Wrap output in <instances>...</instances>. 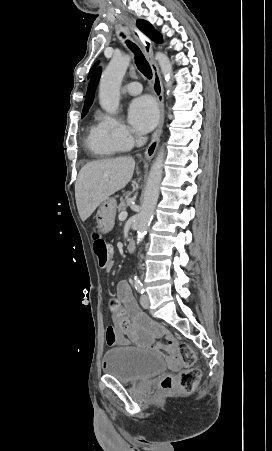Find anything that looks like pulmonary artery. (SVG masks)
<instances>
[{
	"label": "pulmonary artery",
	"instance_id": "1",
	"mask_svg": "<svg viewBox=\"0 0 272 451\" xmlns=\"http://www.w3.org/2000/svg\"><path fill=\"white\" fill-rule=\"evenodd\" d=\"M126 92L130 95H138L142 91V87L137 82L126 85Z\"/></svg>",
	"mask_w": 272,
	"mask_h": 451
}]
</instances>
